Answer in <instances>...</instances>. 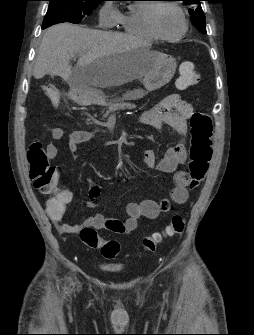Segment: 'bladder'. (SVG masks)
Returning <instances> with one entry per match:
<instances>
[{
    "label": "bladder",
    "mask_w": 254,
    "mask_h": 335,
    "mask_svg": "<svg viewBox=\"0 0 254 335\" xmlns=\"http://www.w3.org/2000/svg\"><path fill=\"white\" fill-rule=\"evenodd\" d=\"M102 270L105 271V272H109V273H113V272H119V271H121L120 268H117V267H110V266H103V267H102Z\"/></svg>",
    "instance_id": "31cf9c89"
}]
</instances>
